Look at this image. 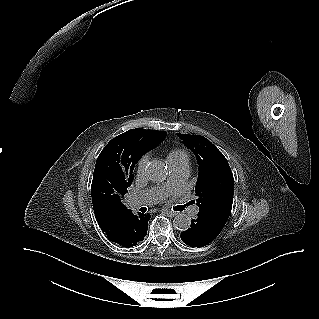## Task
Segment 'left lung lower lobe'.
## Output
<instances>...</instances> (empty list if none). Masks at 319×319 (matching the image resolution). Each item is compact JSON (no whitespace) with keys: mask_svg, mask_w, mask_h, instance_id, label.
Segmentation results:
<instances>
[{"mask_svg":"<svg viewBox=\"0 0 319 319\" xmlns=\"http://www.w3.org/2000/svg\"><path fill=\"white\" fill-rule=\"evenodd\" d=\"M230 212L231 208L223 206L200 209L191 227L181 233L182 241L191 247L206 246L219 235Z\"/></svg>","mask_w":319,"mask_h":319,"instance_id":"0a47b994","label":"left lung lower lobe"}]
</instances>
